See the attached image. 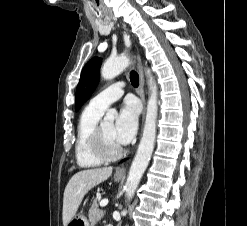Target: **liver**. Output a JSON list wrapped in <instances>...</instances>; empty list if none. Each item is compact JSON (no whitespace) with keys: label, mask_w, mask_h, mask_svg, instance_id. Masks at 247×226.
Masks as SVG:
<instances>
[{"label":"liver","mask_w":247,"mask_h":226,"mask_svg":"<svg viewBox=\"0 0 247 226\" xmlns=\"http://www.w3.org/2000/svg\"><path fill=\"white\" fill-rule=\"evenodd\" d=\"M112 167L86 169L77 172L69 180L63 198V225L67 226L75 216L79 205L86 193L94 186L108 179L112 174Z\"/></svg>","instance_id":"liver-1"}]
</instances>
